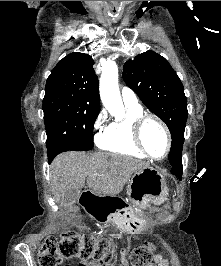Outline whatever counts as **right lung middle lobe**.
Segmentation results:
<instances>
[{"label":"right lung middle lobe","instance_id":"dd1d6c3e","mask_svg":"<svg viewBox=\"0 0 221 266\" xmlns=\"http://www.w3.org/2000/svg\"><path fill=\"white\" fill-rule=\"evenodd\" d=\"M43 111L48 156L93 148V127L99 111L90 110L76 97L63 93L45 94Z\"/></svg>","mask_w":221,"mask_h":266}]
</instances>
